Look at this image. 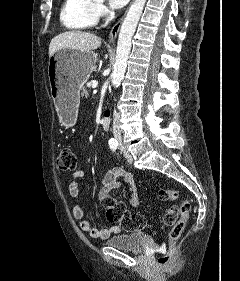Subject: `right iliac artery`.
<instances>
[{
    "mask_svg": "<svg viewBox=\"0 0 240 281\" xmlns=\"http://www.w3.org/2000/svg\"><path fill=\"white\" fill-rule=\"evenodd\" d=\"M109 146H110V149L112 151H116V149L118 147V143L117 142H109Z\"/></svg>",
    "mask_w": 240,
    "mask_h": 281,
    "instance_id": "82829eb1",
    "label": "right iliac artery"
}]
</instances>
